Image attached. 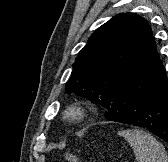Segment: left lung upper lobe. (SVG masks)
<instances>
[{"label": "left lung upper lobe", "instance_id": "5c2ea615", "mask_svg": "<svg viewBox=\"0 0 168 162\" xmlns=\"http://www.w3.org/2000/svg\"><path fill=\"white\" fill-rule=\"evenodd\" d=\"M155 47L152 31L144 18L135 13L119 14L90 36L76 57L65 90L105 107L115 87Z\"/></svg>", "mask_w": 168, "mask_h": 162}]
</instances>
